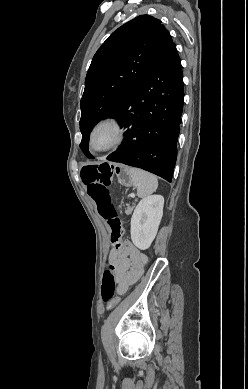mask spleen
<instances>
[{"instance_id":"1","label":"spleen","mask_w":248,"mask_h":389,"mask_svg":"<svg viewBox=\"0 0 248 389\" xmlns=\"http://www.w3.org/2000/svg\"><path fill=\"white\" fill-rule=\"evenodd\" d=\"M128 173L140 198H145L156 191L158 180L153 174L133 167L128 168Z\"/></svg>"}]
</instances>
